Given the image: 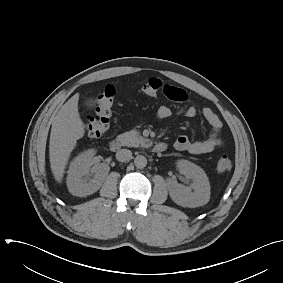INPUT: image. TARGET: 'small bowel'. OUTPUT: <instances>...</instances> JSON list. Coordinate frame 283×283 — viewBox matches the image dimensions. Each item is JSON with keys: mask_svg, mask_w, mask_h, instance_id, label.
<instances>
[{"mask_svg": "<svg viewBox=\"0 0 283 283\" xmlns=\"http://www.w3.org/2000/svg\"><path fill=\"white\" fill-rule=\"evenodd\" d=\"M164 95L176 102H182L187 99L185 90L180 87L165 84L162 86ZM184 115L188 118H195L198 115V110L195 107H188L184 111ZM172 116V110L167 106L159 107L157 117L161 120L168 119ZM202 116L210 126L209 136L204 140L191 141L187 136H179L175 143L174 148L180 152H186L192 155H203L214 151L216 148L223 145L221 137L222 122L219 117L210 108L202 110Z\"/></svg>", "mask_w": 283, "mask_h": 283, "instance_id": "obj_1", "label": "small bowel"}]
</instances>
